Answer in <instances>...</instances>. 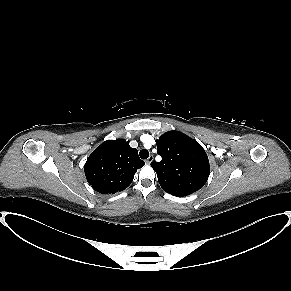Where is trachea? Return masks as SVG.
Wrapping results in <instances>:
<instances>
[{
    "mask_svg": "<svg viewBox=\"0 0 291 291\" xmlns=\"http://www.w3.org/2000/svg\"><path fill=\"white\" fill-rule=\"evenodd\" d=\"M139 156L141 159H147L149 157V152L148 150L146 149H142L140 152H139Z\"/></svg>",
    "mask_w": 291,
    "mask_h": 291,
    "instance_id": "1",
    "label": "trachea"
}]
</instances>
